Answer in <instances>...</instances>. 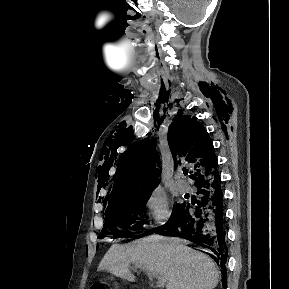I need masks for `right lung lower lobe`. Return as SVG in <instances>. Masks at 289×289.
Returning a JSON list of instances; mask_svg holds the SVG:
<instances>
[{
  "label": "right lung lower lobe",
  "mask_w": 289,
  "mask_h": 289,
  "mask_svg": "<svg viewBox=\"0 0 289 289\" xmlns=\"http://www.w3.org/2000/svg\"><path fill=\"white\" fill-rule=\"evenodd\" d=\"M217 168L213 172L195 181L198 199L192 204H181L170 219L162 226L148 233L163 236L181 237L194 242L207 250L220 266L223 275V287H226L227 221L224 214L223 194L220 187Z\"/></svg>",
  "instance_id": "98d812e1"
}]
</instances>
